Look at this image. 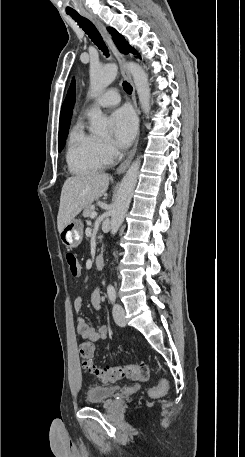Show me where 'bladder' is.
Returning <instances> with one entry per match:
<instances>
[{
  "label": "bladder",
  "instance_id": "obj_1",
  "mask_svg": "<svg viewBox=\"0 0 245 457\" xmlns=\"http://www.w3.org/2000/svg\"><path fill=\"white\" fill-rule=\"evenodd\" d=\"M117 389L118 387L90 385L86 396L87 405L108 401L113 395L116 394Z\"/></svg>",
  "mask_w": 245,
  "mask_h": 457
}]
</instances>
